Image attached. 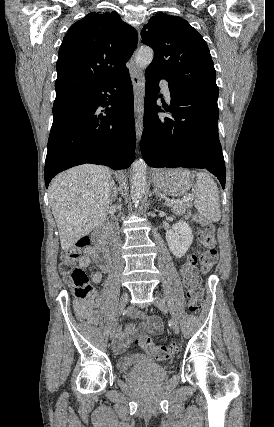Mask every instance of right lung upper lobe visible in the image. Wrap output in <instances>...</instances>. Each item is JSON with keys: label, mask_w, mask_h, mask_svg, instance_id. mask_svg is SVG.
<instances>
[{"label": "right lung upper lobe", "mask_w": 274, "mask_h": 427, "mask_svg": "<svg viewBox=\"0 0 274 427\" xmlns=\"http://www.w3.org/2000/svg\"><path fill=\"white\" fill-rule=\"evenodd\" d=\"M138 43L136 30L116 12H92L74 23L58 53L56 99L61 103L115 82Z\"/></svg>", "instance_id": "right-lung-upper-lobe-1"}]
</instances>
